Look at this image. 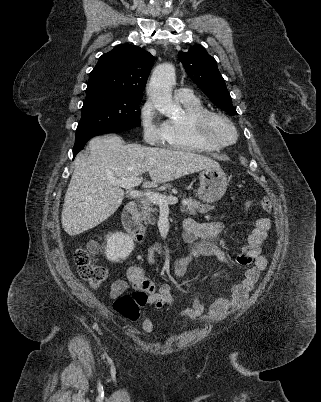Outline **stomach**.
Instances as JSON below:
<instances>
[{
    "label": "stomach",
    "instance_id": "obj_1",
    "mask_svg": "<svg viewBox=\"0 0 321 402\" xmlns=\"http://www.w3.org/2000/svg\"><path fill=\"white\" fill-rule=\"evenodd\" d=\"M199 179L200 187L197 194L202 201L212 203L224 195L228 180L220 167L203 169Z\"/></svg>",
    "mask_w": 321,
    "mask_h": 402
}]
</instances>
